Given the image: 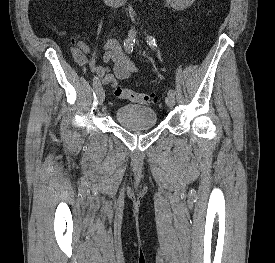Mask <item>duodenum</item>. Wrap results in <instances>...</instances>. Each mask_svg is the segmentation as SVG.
<instances>
[{"label": "duodenum", "instance_id": "duodenum-1", "mask_svg": "<svg viewBox=\"0 0 275 263\" xmlns=\"http://www.w3.org/2000/svg\"><path fill=\"white\" fill-rule=\"evenodd\" d=\"M108 6L120 7L129 3L131 0H103Z\"/></svg>", "mask_w": 275, "mask_h": 263}]
</instances>
